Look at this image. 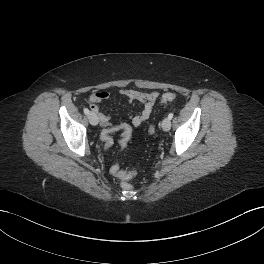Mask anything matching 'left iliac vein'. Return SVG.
<instances>
[{
    "label": "left iliac vein",
    "mask_w": 264,
    "mask_h": 264,
    "mask_svg": "<svg viewBox=\"0 0 264 264\" xmlns=\"http://www.w3.org/2000/svg\"><path fill=\"white\" fill-rule=\"evenodd\" d=\"M171 128V121L170 119L167 117V118H164V120L162 121V129L164 131H169Z\"/></svg>",
    "instance_id": "1"
}]
</instances>
